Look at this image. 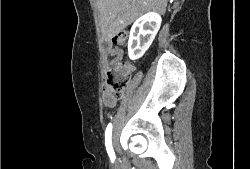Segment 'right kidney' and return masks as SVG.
<instances>
[{"label":"right kidney","mask_w":250,"mask_h":169,"mask_svg":"<svg viewBox=\"0 0 250 169\" xmlns=\"http://www.w3.org/2000/svg\"><path fill=\"white\" fill-rule=\"evenodd\" d=\"M161 22L162 18L158 12H146V14L135 20L128 40V54L131 60L143 56L151 42H153Z\"/></svg>","instance_id":"obj_1"}]
</instances>
